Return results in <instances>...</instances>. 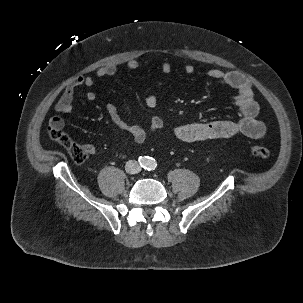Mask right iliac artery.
<instances>
[{
  "instance_id": "right-iliac-artery-1",
  "label": "right iliac artery",
  "mask_w": 303,
  "mask_h": 303,
  "mask_svg": "<svg viewBox=\"0 0 303 303\" xmlns=\"http://www.w3.org/2000/svg\"><path fill=\"white\" fill-rule=\"evenodd\" d=\"M139 163L141 166H146L148 164L147 157H139Z\"/></svg>"
}]
</instances>
